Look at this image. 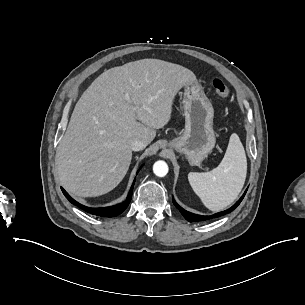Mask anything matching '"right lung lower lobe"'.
Returning <instances> with one entry per match:
<instances>
[{"label":"right lung lower lobe","instance_id":"1","mask_svg":"<svg viewBox=\"0 0 305 305\" xmlns=\"http://www.w3.org/2000/svg\"><path fill=\"white\" fill-rule=\"evenodd\" d=\"M133 186H134V183L130 189L127 199L124 202H122L120 204H116L111 207H105V208H89L87 206H84V205L76 202L74 199H72L64 189H62V191H63L64 195L66 196V198L72 204L78 206L79 208L83 209L84 211L89 212L91 214L98 215V216L112 217V216H117V215L121 214L128 207V205L131 201Z\"/></svg>","mask_w":305,"mask_h":305}]
</instances>
